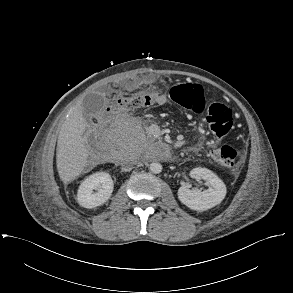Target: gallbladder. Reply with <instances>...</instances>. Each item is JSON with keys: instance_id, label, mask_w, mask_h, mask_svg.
I'll use <instances>...</instances> for the list:
<instances>
[{"instance_id": "gallbladder-1", "label": "gallbladder", "mask_w": 293, "mask_h": 293, "mask_svg": "<svg viewBox=\"0 0 293 293\" xmlns=\"http://www.w3.org/2000/svg\"><path fill=\"white\" fill-rule=\"evenodd\" d=\"M104 103H105V98L103 96L96 93L88 94L84 98L83 104H82L83 115L85 117L96 115L98 112L102 110Z\"/></svg>"}]
</instances>
